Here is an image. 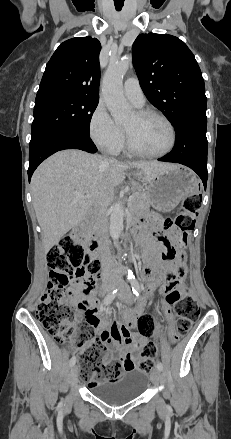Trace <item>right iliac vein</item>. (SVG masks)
<instances>
[{
    "label": "right iliac vein",
    "mask_w": 231,
    "mask_h": 439,
    "mask_svg": "<svg viewBox=\"0 0 231 439\" xmlns=\"http://www.w3.org/2000/svg\"><path fill=\"white\" fill-rule=\"evenodd\" d=\"M115 286H116L115 284H112L111 288H114ZM78 373H79L78 366H73L70 372V379L73 384H76L78 381Z\"/></svg>",
    "instance_id": "1"
}]
</instances>
